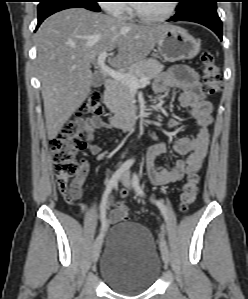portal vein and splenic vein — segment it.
<instances>
[{"mask_svg": "<svg viewBox=\"0 0 248 299\" xmlns=\"http://www.w3.org/2000/svg\"><path fill=\"white\" fill-rule=\"evenodd\" d=\"M108 56L107 52H102L97 59V65L100 69L109 77L114 80L120 81L123 84L128 85L131 89H137L139 87H144L149 83L147 78L138 79L136 76L129 75L123 72L116 71L105 64V60Z\"/></svg>", "mask_w": 248, "mask_h": 299, "instance_id": "18ae733b", "label": "portal vein and splenic vein"}]
</instances>
